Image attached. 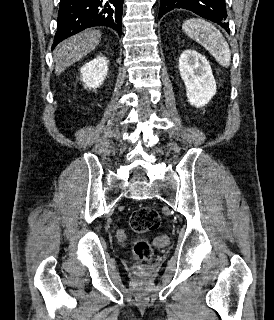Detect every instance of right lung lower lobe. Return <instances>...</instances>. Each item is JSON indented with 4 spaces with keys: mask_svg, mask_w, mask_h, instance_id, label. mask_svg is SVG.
Listing matches in <instances>:
<instances>
[{
    "mask_svg": "<svg viewBox=\"0 0 274 320\" xmlns=\"http://www.w3.org/2000/svg\"><path fill=\"white\" fill-rule=\"evenodd\" d=\"M124 0H60L53 48L86 28L108 26L121 36Z\"/></svg>",
    "mask_w": 274,
    "mask_h": 320,
    "instance_id": "right-lung-lower-lobe-1",
    "label": "right lung lower lobe"
}]
</instances>
